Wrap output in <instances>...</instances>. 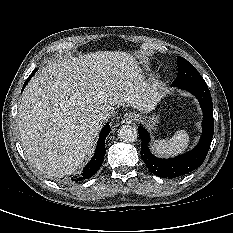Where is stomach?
Masks as SVG:
<instances>
[{"mask_svg":"<svg viewBox=\"0 0 233 233\" xmlns=\"http://www.w3.org/2000/svg\"><path fill=\"white\" fill-rule=\"evenodd\" d=\"M145 121L147 122V125L150 129L155 130L156 129V125L158 123V119L157 117L153 116V117H146Z\"/></svg>","mask_w":233,"mask_h":233,"instance_id":"0dacf381","label":"stomach"}]
</instances>
